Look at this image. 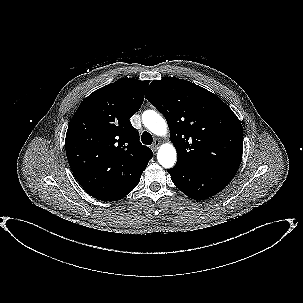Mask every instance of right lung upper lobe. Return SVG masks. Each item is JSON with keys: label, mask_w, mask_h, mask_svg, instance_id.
Wrapping results in <instances>:
<instances>
[{"label": "right lung upper lobe", "mask_w": 303, "mask_h": 303, "mask_svg": "<svg viewBox=\"0 0 303 303\" xmlns=\"http://www.w3.org/2000/svg\"><path fill=\"white\" fill-rule=\"evenodd\" d=\"M149 81L122 78L91 93L73 115L65 138L71 170L92 197L116 201L139 183L153 157L130 118Z\"/></svg>", "instance_id": "right-lung-upper-lobe-1"}]
</instances>
